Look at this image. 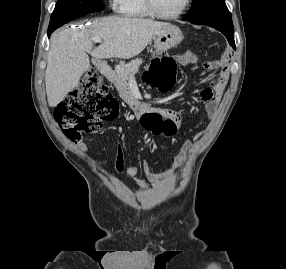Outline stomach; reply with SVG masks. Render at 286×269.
<instances>
[{
	"instance_id": "stomach-1",
	"label": "stomach",
	"mask_w": 286,
	"mask_h": 269,
	"mask_svg": "<svg viewBox=\"0 0 286 269\" xmlns=\"http://www.w3.org/2000/svg\"><path fill=\"white\" fill-rule=\"evenodd\" d=\"M153 39L155 49H166L167 51L176 47L183 40V34L179 27L169 24L161 28Z\"/></svg>"
}]
</instances>
